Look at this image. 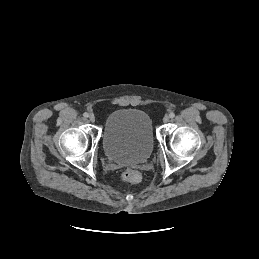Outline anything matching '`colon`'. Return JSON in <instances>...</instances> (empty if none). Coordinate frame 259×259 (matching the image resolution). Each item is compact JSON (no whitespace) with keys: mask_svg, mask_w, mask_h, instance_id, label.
<instances>
[{"mask_svg":"<svg viewBox=\"0 0 259 259\" xmlns=\"http://www.w3.org/2000/svg\"><path fill=\"white\" fill-rule=\"evenodd\" d=\"M121 177L127 183H138L142 178L141 173L135 169H126Z\"/></svg>","mask_w":259,"mask_h":259,"instance_id":"5ec220e1","label":"colon"}]
</instances>
